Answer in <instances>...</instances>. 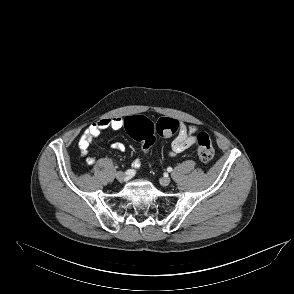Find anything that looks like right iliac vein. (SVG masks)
Here are the masks:
<instances>
[{
	"label": "right iliac vein",
	"instance_id": "obj_1",
	"mask_svg": "<svg viewBox=\"0 0 294 294\" xmlns=\"http://www.w3.org/2000/svg\"><path fill=\"white\" fill-rule=\"evenodd\" d=\"M116 179L119 181V182H123L124 179H125V174L123 172H118L116 174Z\"/></svg>",
	"mask_w": 294,
	"mask_h": 294
}]
</instances>
